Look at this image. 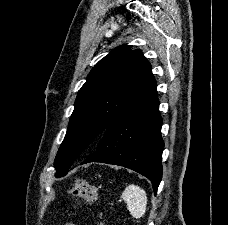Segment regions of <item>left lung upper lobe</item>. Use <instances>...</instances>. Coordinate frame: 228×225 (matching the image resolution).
<instances>
[{"label": "left lung upper lobe", "instance_id": "obj_1", "mask_svg": "<svg viewBox=\"0 0 228 225\" xmlns=\"http://www.w3.org/2000/svg\"><path fill=\"white\" fill-rule=\"evenodd\" d=\"M131 47L118 46L102 58L78 92L54 162L57 177L65 176L79 156H88V147L156 85L150 63Z\"/></svg>", "mask_w": 228, "mask_h": 225}]
</instances>
